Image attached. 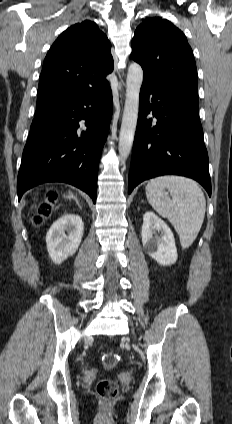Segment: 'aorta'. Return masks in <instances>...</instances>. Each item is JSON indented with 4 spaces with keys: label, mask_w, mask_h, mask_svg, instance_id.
I'll return each mask as SVG.
<instances>
[{
    "label": "aorta",
    "mask_w": 232,
    "mask_h": 424,
    "mask_svg": "<svg viewBox=\"0 0 232 424\" xmlns=\"http://www.w3.org/2000/svg\"><path fill=\"white\" fill-rule=\"evenodd\" d=\"M143 81V70L137 63L130 64L126 80V99L119 135V156L126 160L131 152L139 110V92Z\"/></svg>",
    "instance_id": "aorta-1"
}]
</instances>
